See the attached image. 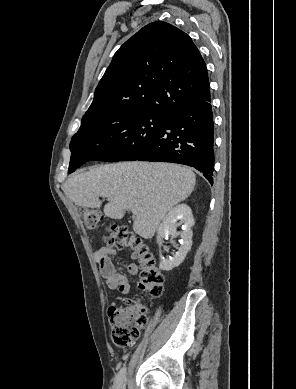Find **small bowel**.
I'll return each instance as SVG.
<instances>
[{"label": "small bowel", "instance_id": "1", "mask_svg": "<svg viewBox=\"0 0 296 389\" xmlns=\"http://www.w3.org/2000/svg\"><path fill=\"white\" fill-rule=\"evenodd\" d=\"M115 251L110 247H101L94 253V259L99 266L102 276L106 280V285L111 290H118L122 295L130 293L131 286L126 276L117 273L111 257ZM138 265L130 263L127 267L129 274L135 275L138 273Z\"/></svg>", "mask_w": 296, "mask_h": 389}]
</instances>
